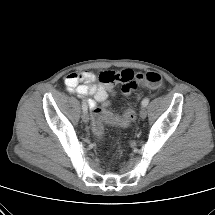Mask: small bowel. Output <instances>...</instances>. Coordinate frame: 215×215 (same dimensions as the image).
<instances>
[{
  "label": "small bowel",
  "instance_id": "small-bowel-1",
  "mask_svg": "<svg viewBox=\"0 0 215 215\" xmlns=\"http://www.w3.org/2000/svg\"><path fill=\"white\" fill-rule=\"evenodd\" d=\"M64 83L68 91L79 97H92L87 99V104L93 110L97 109L98 103L104 106L109 104L108 96L114 92L115 85L122 84L124 95H128L135 88L134 72L131 69L119 72L104 71L99 76L91 71L71 73L65 77Z\"/></svg>",
  "mask_w": 215,
  "mask_h": 215
}]
</instances>
